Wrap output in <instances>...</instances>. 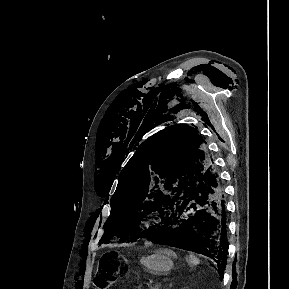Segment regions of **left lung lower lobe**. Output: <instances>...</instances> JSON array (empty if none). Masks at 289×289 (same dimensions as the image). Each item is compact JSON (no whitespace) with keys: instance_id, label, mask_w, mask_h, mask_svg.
<instances>
[{"instance_id":"obj_1","label":"left lung lower lobe","mask_w":289,"mask_h":289,"mask_svg":"<svg viewBox=\"0 0 289 289\" xmlns=\"http://www.w3.org/2000/svg\"><path fill=\"white\" fill-rule=\"evenodd\" d=\"M227 230L224 189L211 163L203 175L173 198L169 215L151 241L197 252L215 260L222 277L226 266ZM177 244V245H176Z\"/></svg>"}]
</instances>
